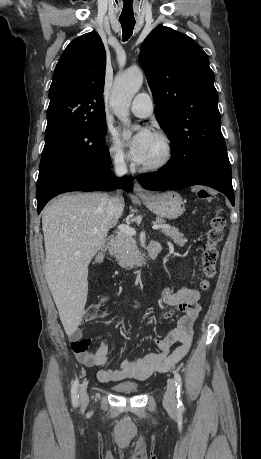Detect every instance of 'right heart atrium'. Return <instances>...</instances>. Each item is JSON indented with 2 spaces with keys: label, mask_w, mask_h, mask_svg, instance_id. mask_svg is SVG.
Instances as JSON below:
<instances>
[{
  "label": "right heart atrium",
  "mask_w": 261,
  "mask_h": 459,
  "mask_svg": "<svg viewBox=\"0 0 261 459\" xmlns=\"http://www.w3.org/2000/svg\"><path fill=\"white\" fill-rule=\"evenodd\" d=\"M107 143L108 153L115 169L118 171L126 170L128 165V156L120 140L114 135H109L107 137Z\"/></svg>",
  "instance_id": "d8ad5b80"
}]
</instances>
